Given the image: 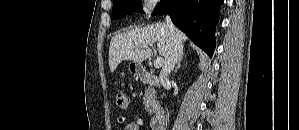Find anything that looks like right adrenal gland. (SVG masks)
Listing matches in <instances>:
<instances>
[{"instance_id": "2a0ac1e0", "label": "right adrenal gland", "mask_w": 299, "mask_h": 130, "mask_svg": "<svg viewBox=\"0 0 299 130\" xmlns=\"http://www.w3.org/2000/svg\"><path fill=\"white\" fill-rule=\"evenodd\" d=\"M183 59V56L178 61L177 65L173 68V72H176L181 67V60Z\"/></svg>"}]
</instances>
